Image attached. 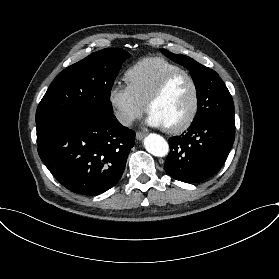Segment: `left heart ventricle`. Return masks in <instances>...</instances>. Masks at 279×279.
Returning a JSON list of instances; mask_svg holds the SVG:
<instances>
[{
    "mask_svg": "<svg viewBox=\"0 0 279 279\" xmlns=\"http://www.w3.org/2000/svg\"><path fill=\"white\" fill-rule=\"evenodd\" d=\"M194 89L190 80L182 76L174 81L165 94L154 102L150 112L161 118L165 126L178 125L191 111Z\"/></svg>",
    "mask_w": 279,
    "mask_h": 279,
    "instance_id": "b2bd125f",
    "label": "left heart ventricle"
}]
</instances>
